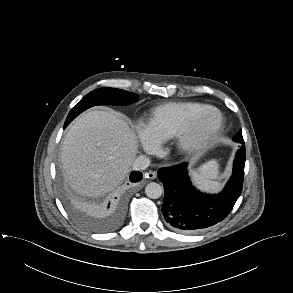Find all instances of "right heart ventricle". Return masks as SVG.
I'll return each instance as SVG.
<instances>
[{
	"label": "right heart ventricle",
	"instance_id": "e07e8e85",
	"mask_svg": "<svg viewBox=\"0 0 293 293\" xmlns=\"http://www.w3.org/2000/svg\"><path fill=\"white\" fill-rule=\"evenodd\" d=\"M214 108L198 102H170L156 107L146 118L150 133L159 141L175 138L199 113Z\"/></svg>",
	"mask_w": 293,
	"mask_h": 293
}]
</instances>
